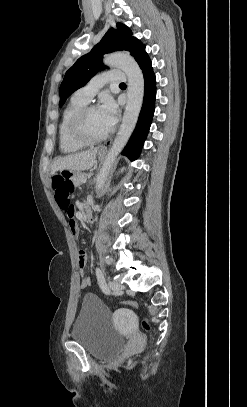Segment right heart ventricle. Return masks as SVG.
Listing matches in <instances>:
<instances>
[{"label":"right heart ventricle","mask_w":247,"mask_h":407,"mask_svg":"<svg viewBox=\"0 0 247 407\" xmlns=\"http://www.w3.org/2000/svg\"><path fill=\"white\" fill-rule=\"evenodd\" d=\"M86 104V102L72 97L62 112L58 125L59 148L62 153H75L85 147L84 144L73 139L70 132V123L75 113Z\"/></svg>","instance_id":"obj_1"}]
</instances>
